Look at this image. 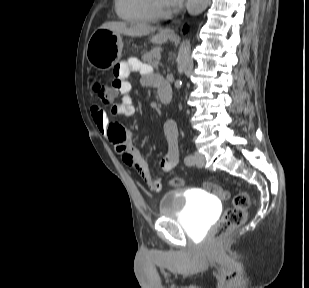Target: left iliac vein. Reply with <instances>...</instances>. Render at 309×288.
<instances>
[{
	"mask_svg": "<svg viewBox=\"0 0 309 288\" xmlns=\"http://www.w3.org/2000/svg\"><path fill=\"white\" fill-rule=\"evenodd\" d=\"M194 162L196 166L198 167H203L205 163V159L202 153L200 152H195L194 154Z\"/></svg>",
	"mask_w": 309,
	"mask_h": 288,
	"instance_id": "left-iliac-vein-1",
	"label": "left iliac vein"
}]
</instances>
